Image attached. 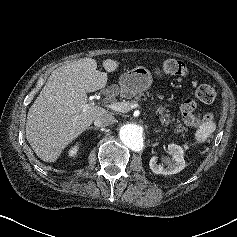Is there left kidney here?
Listing matches in <instances>:
<instances>
[{
    "instance_id": "5707ae66",
    "label": "left kidney",
    "mask_w": 237,
    "mask_h": 237,
    "mask_svg": "<svg viewBox=\"0 0 237 237\" xmlns=\"http://www.w3.org/2000/svg\"><path fill=\"white\" fill-rule=\"evenodd\" d=\"M168 151L172 154V161L165 159V162L168 164L167 167H162L157 164V157L153 156L150 159L149 167L152 172L156 174L171 175L176 174L185 168L184 152L183 149L176 144H169Z\"/></svg>"
}]
</instances>
